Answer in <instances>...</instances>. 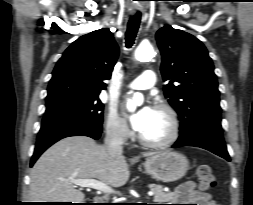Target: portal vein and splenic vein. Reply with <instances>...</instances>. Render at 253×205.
Returning <instances> with one entry per match:
<instances>
[{"instance_id": "1", "label": "portal vein and splenic vein", "mask_w": 253, "mask_h": 205, "mask_svg": "<svg viewBox=\"0 0 253 205\" xmlns=\"http://www.w3.org/2000/svg\"><path fill=\"white\" fill-rule=\"evenodd\" d=\"M70 182L79 186V187H82V188H84V187L92 188L94 190H98L100 192H105L107 194L115 193V191L112 188H110L109 186H107L103 182L95 180V179H71ZM148 195L153 196L154 192L149 191Z\"/></svg>"}]
</instances>
